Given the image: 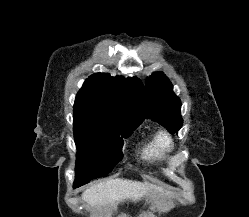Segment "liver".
Segmentation results:
<instances>
[{"label": "liver", "instance_id": "1", "mask_svg": "<svg viewBox=\"0 0 249 217\" xmlns=\"http://www.w3.org/2000/svg\"><path fill=\"white\" fill-rule=\"evenodd\" d=\"M152 190L173 196L171 192L148 183L117 178L87 188L82 194V199L92 206L111 204L116 207L124 200L136 202Z\"/></svg>", "mask_w": 249, "mask_h": 217}]
</instances>
